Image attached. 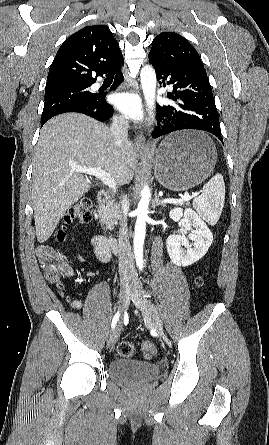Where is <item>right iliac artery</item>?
<instances>
[{"mask_svg": "<svg viewBox=\"0 0 269 445\" xmlns=\"http://www.w3.org/2000/svg\"><path fill=\"white\" fill-rule=\"evenodd\" d=\"M119 316H120V313L117 312L112 320V328L115 327V325L117 324Z\"/></svg>", "mask_w": 269, "mask_h": 445, "instance_id": "right-iliac-artery-1", "label": "right iliac artery"}]
</instances>
